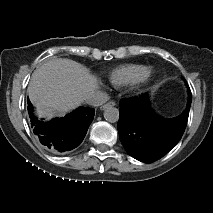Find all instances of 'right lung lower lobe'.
Listing matches in <instances>:
<instances>
[{
    "label": "right lung lower lobe",
    "instance_id": "1",
    "mask_svg": "<svg viewBox=\"0 0 213 213\" xmlns=\"http://www.w3.org/2000/svg\"><path fill=\"white\" fill-rule=\"evenodd\" d=\"M27 102L34 133L43 145L59 152L77 147L84 139L94 117L93 108L80 107L63 118L44 122L37 119L33 114L31 102Z\"/></svg>",
    "mask_w": 213,
    "mask_h": 213
}]
</instances>
